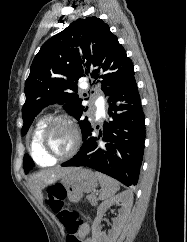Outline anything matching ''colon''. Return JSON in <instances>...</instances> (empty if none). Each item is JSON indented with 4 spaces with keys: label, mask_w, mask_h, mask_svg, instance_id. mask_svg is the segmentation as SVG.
<instances>
[{
    "label": "colon",
    "mask_w": 187,
    "mask_h": 242,
    "mask_svg": "<svg viewBox=\"0 0 187 242\" xmlns=\"http://www.w3.org/2000/svg\"><path fill=\"white\" fill-rule=\"evenodd\" d=\"M46 203L48 208L57 217L67 231V242H82L78 232L81 222L74 211L67 209L64 199L65 188L60 184L50 185L46 189Z\"/></svg>",
    "instance_id": "5ec220e1"
}]
</instances>
